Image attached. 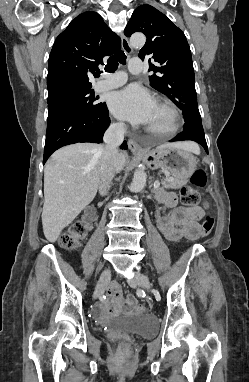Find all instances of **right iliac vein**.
Returning a JSON list of instances; mask_svg holds the SVG:
<instances>
[{
	"label": "right iliac vein",
	"mask_w": 249,
	"mask_h": 382,
	"mask_svg": "<svg viewBox=\"0 0 249 382\" xmlns=\"http://www.w3.org/2000/svg\"><path fill=\"white\" fill-rule=\"evenodd\" d=\"M111 272L109 269H106L100 276V279L96 285L95 292L96 294H101L105 290V287L110 280Z\"/></svg>",
	"instance_id": "right-iliac-vein-1"
}]
</instances>
